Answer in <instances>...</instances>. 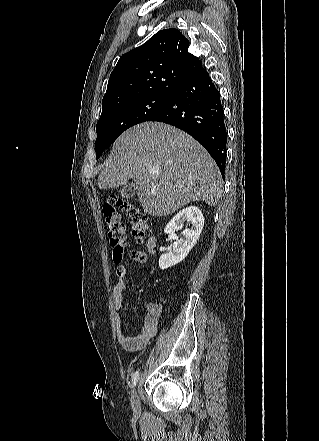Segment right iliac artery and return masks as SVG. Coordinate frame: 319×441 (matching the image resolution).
Listing matches in <instances>:
<instances>
[{"instance_id":"1","label":"right iliac artery","mask_w":319,"mask_h":441,"mask_svg":"<svg viewBox=\"0 0 319 441\" xmlns=\"http://www.w3.org/2000/svg\"><path fill=\"white\" fill-rule=\"evenodd\" d=\"M139 379V372L136 371L133 375H132V385L133 387L136 385V383L138 382Z\"/></svg>"}]
</instances>
